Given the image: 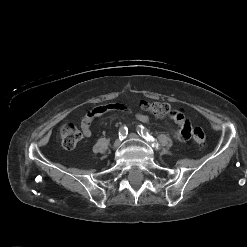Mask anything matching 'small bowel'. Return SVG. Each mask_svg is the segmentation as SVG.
I'll use <instances>...</instances> for the list:
<instances>
[{
	"instance_id": "small-bowel-1",
	"label": "small bowel",
	"mask_w": 247,
	"mask_h": 247,
	"mask_svg": "<svg viewBox=\"0 0 247 247\" xmlns=\"http://www.w3.org/2000/svg\"><path fill=\"white\" fill-rule=\"evenodd\" d=\"M113 110H121L124 112L132 111L130 105L124 102L109 103V104H105V105L92 108L84 115V117L81 120V128H82L83 134L86 137H90L92 135L90 126L93 120ZM171 117L177 124V130L174 133L175 138L180 141L188 139L190 137L191 128H190V124L188 120L186 119V117L180 112H175L173 115H171ZM136 118L142 123L148 122V116L145 114L137 113Z\"/></svg>"
}]
</instances>
